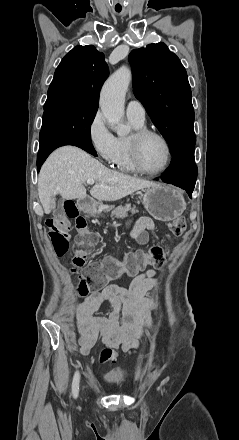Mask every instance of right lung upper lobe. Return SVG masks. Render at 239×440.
Listing matches in <instances>:
<instances>
[{
	"label": "right lung upper lobe",
	"instance_id": "1",
	"mask_svg": "<svg viewBox=\"0 0 239 440\" xmlns=\"http://www.w3.org/2000/svg\"><path fill=\"white\" fill-rule=\"evenodd\" d=\"M108 75L103 53L93 45L76 46L57 67L45 105L64 102L97 110L99 92Z\"/></svg>",
	"mask_w": 239,
	"mask_h": 440
}]
</instances>
